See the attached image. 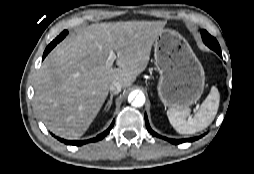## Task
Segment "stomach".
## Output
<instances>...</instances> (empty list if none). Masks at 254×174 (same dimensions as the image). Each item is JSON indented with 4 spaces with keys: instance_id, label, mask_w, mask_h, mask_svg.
Returning <instances> with one entry per match:
<instances>
[{
    "instance_id": "obj_1",
    "label": "stomach",
    "mask_w": 254,
    "mask_h": 174,
    "mask_svg": "<svg viewBox=\"0 0 254 174\" xmlns=\"http://www.w3.org/2000/svg\"><path fill=\"white\" fill-rule=\"evenodd\" d=\"M154 57L162 103L176 110L196 103L204 90L205 73L185 38L175 30L163 29L154 42Z\"/></svg>"
}]
</instances>
